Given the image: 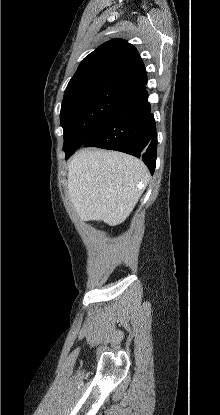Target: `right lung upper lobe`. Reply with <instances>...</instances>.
<instances>
[{
	"label": "right lung upper lobe",
	"instance_id": "obj_1",
	"mask_svg": "<svg viewBox=\"0 0 220 415\" xmlns=\"http://www.w3.org/2000/svg\"><path fill=\"white\" fill-rule=\"evenodd\" d=\"M117 78L139 88L147 84L145 66L136 48L113 39L95 49L80 63L68 87L98 78Z\"/></svg>",
	"mask_w": 220,
	"mask_h": 415
}]
</instances>
